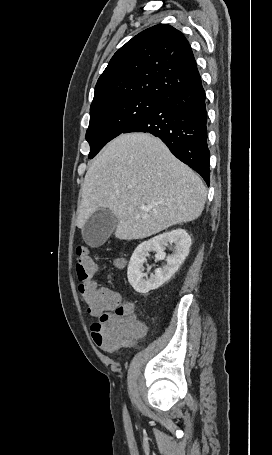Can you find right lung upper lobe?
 Returning <instances> with one entry per match:
<instances>
[{
  "mask_svg": "<svg viewBox=\"0 0 272 455\" xmlns=\"http://www.w3.org/2000/svg\"><path fill=\"white\" fill-rule=\"evenodd\" d=\"M199 78L185 36L168 24H158L114 54L97 81L91 108L134 96L164 99Z\"/></svg>",
  "mask_w": 272,
  "mask_h": 455,
  "instance_id": "cb5924a9",
  "label": "right lung upper lobe"
}]
</instances>
